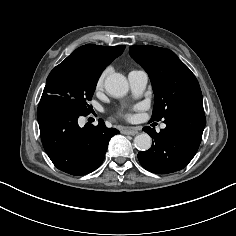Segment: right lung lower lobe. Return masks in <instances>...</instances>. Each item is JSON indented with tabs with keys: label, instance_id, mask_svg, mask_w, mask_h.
I'll return each instance as SVG.
<instances>
[{
	"label": "right lung lower lobe",
	"instance_id": "obj_1",
	"mask_svg": "<svg viewBox=\"0 0 236 236\" xmlns=\"http://www.w3.org/2000/svg\"><path fill=\"white\" fill-rule=\"evenodd\" d=\"M81 113L66 98L42 96L37 119L43 147L56 168L70 175H85L104 160L109 140L119 132L107 128L102 120L97 126L87 123L80 128Z\"/></svg>",
	"mask_w": 236,
	"mask_h": 236
}]
</instances>
